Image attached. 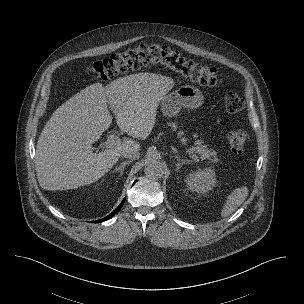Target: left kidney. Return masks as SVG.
Wrapping results in <instances>:
<instances>
[{
    "mask_svg": "<svg viewBox=\"0 0 304 304\" xmlns=\"http://www.w3.org/2000/svg\"><path fill=\"white\" fill-rule=\"evenodd\" d=\"M185 183L189 190L204 194L210 191L216 183L215 171L208 167L192 172L186 177Z\"/></svg>",
    "mask_w": 304,
    "mask_h": 304,
    "instance_id": "1",
    "label": "left kidney"
}]
</instances>
